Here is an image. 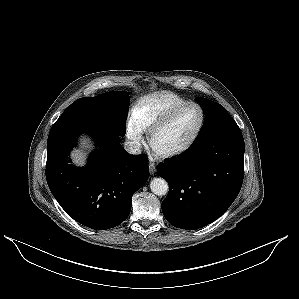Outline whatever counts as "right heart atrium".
Masks as SVG:
<instances>
[{
  "label": "right heart atrium",
  "instance_id": "obj_1",
  "mask_svg": "<svg viewBox=\"0 0 299 299\" xmlns=\"http://www.w3.org/2000/svg\"><path fill=\"white\" fill-rule=\"evenodd\" d=\"M145 129L134 115L126 123V136L134 149H138L143 142Z\"/></svg>",
  "mask_w": 299,
  "mask_h": 299
}]
</instances>
